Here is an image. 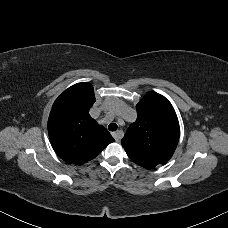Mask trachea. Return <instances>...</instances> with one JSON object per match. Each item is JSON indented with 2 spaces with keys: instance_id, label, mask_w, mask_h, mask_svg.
Segmentation results:
<instances>
[{
  "instance_id": "3493384b",
  "label": "trachea",
  "mask_w": 228,
  "mask_h": 228,
  "mask_svg": "<svg viewBox=\"0 0 228 228\" xmlns=\"http://www.w3.org/2000/svg\"><path fill=\"white\" fill-rule=\"evenodd\" d=\"M118 128V125L116 123H111L109 126H108V129L110 131H115L116 129Z\"/></svg>"
}]
</instances>
